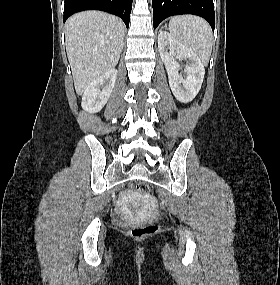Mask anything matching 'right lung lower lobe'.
Listing matches in <instances>:
<instances>
[{
  "label": "right lung lower lobe",
  "instance_id": "right-lung-lower-lobe-1",
  "mask_svg": "<svg viewBox=\"0 0 280 285\" xmlns=\"http://www.w3.org/2000/svg\"><path fill=\"white\" fill-rule=\"evenodd\" d=\"M133 0H65L64 22L72 14L83 10H102L122 18L129 26Z\"/></svg>",
  "mask_w": 280,
  "mask_h": 285
}]
</instances>
